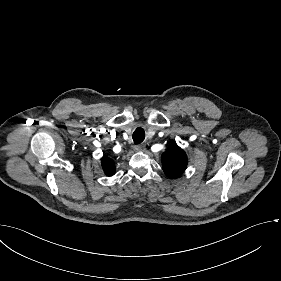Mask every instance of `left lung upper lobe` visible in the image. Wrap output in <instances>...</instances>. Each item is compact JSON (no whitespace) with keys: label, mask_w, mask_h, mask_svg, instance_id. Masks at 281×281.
I'll return each instance as SVG.
<instances>
[{"label":"left lung upper lobe","mask_w":281,"mask_h":281,"mask_svg":"<svg viewBox=\"0 0 281 281\" xmlns=\"http://www.w3.org/2000/svg\"><path fill=\"white\" fill-rule=\"evenodd\" d=\"M188 159L185 152L177 145H172L162 155V166L166 176L176 178L183 174Z\"/></svg>","instance_id":"left-lung-upper-lobe-1"}]
</instances>
